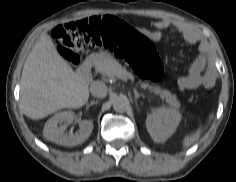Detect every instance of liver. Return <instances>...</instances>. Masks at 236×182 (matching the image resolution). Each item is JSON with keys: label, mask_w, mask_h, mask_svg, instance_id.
Returning <instances> with one entry per match:
<instances>
[{"label": "liver", "mask_w": 236, "mask_h": 182, "mask_svg": "<svg viewBox=\"0 0 236 182\" xmlns=\"http://www.w3.org/2000/svg\"><path fill=\"white\" fill-rule=\"evenodd\" d=\"M89 98V84L60 56L44 33L30 52L22 71L20 108L31 119H42L60 109H77Z\"/></svg>", "instance_id": "obj_1"}]
</instances>
